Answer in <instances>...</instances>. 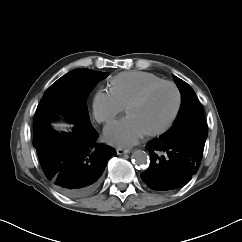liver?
I'll return each mask as SVG.
<instances>
[{
    "label": "liver",
    "instance_id": "obj_1",
    "mask_svg": "<svg viewBox=\"0 0 242 242\" xmlns=\"http://www.w3.org/2000/svg\"><path fill=\"white\" fill-rule=\"evenodd\" d=\"M56 126L62 128V127H66V126H68V125H67V124H56Z\"/></svg>",
    "mask_w": 242,
    "mask_h": 242
}]
</instances>
